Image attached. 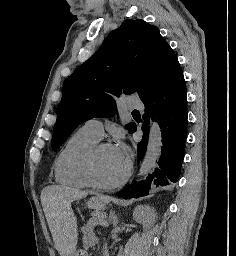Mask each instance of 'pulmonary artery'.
I'll return each mask as SVG.
<instances>
[{
	"instance_id": "e3ab8cb5",
	"label": "pulmonary artery",
	"mask_w": 236,
	"mask_h": 256,
	"mask_svg": "<svg viewBox=\"0 0 236 256\" xmlns=\"http://www.w3.org/2000/svg\"><path fill=\"white\" fill-rule=\"evenodd\" d=\"M126 100L128 101L127 105L129 109H136L137 106H142V101H134V96H127ZM142 108L143 107H141V109ZM81 129L97 141H100L103 136L102 122L96 118L86 121Z\"/></svg>"
}]
</instances>
